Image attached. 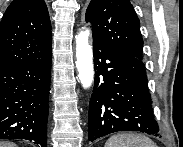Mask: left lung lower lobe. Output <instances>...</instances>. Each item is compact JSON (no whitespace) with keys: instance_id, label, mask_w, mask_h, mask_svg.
I'll return each mask as SVG.
<instances>
[{"instance_id":"left-lung-lower-lobe-1","label":"left lung lower lobe","mask_w":183,"mask_h":147,"mask_svg":"<svg viewBox=\"0 0 183 147\" xmlns=\"http://www.w3.org/2000/svg\"><path fill=\"white\" fill-rule=\"evenodd\" d=\"M95 79L88 139L119 131L159 135L142 60L93 39Z\"/></svg>"}]
</instances>
